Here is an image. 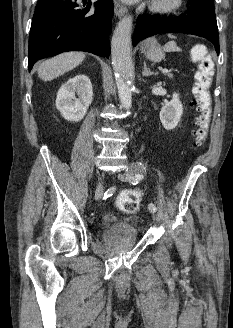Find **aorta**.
<instances>
[{
    "instance_id": "obj_1",
    "label": "aorta",
    "mask_w": 233,
    "mask_h": 328,
    "mask_svg": "<svg viewBox=\"0 0 233 328\" xmlns=\"http://www.w3.org/2000/svg\"><path fill=\"white\" fill-rule=\"evenodd\" d=\"M132 16L123 17L116 26L111 40L112 64L115 71L121 106L132 105L133 71L130 63Z\"/></svg>"
}]
</instances>
